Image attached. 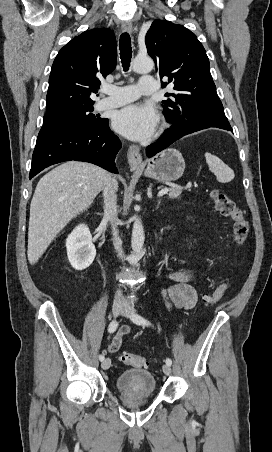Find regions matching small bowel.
I'll use <instances>...</instances> for the list:
<instances>
[{
    "mask_svg": "<svg viewBox=\"0 0 272 452\" xmlns=\"http://www.w3.org/2000/svg\"><path fill=\"white\" fill-rule=\"evenodd\" d=\"M169 277L174 281V284L163 291L167 304L186 310L193 308L197 302V294L189 284L193 273L187 269H176L169 273ZM130 332L129 326H121L108 344V352H118L122 346L123 338L129 335Z\"/></svg>",
    "mask_w": 272,
    "mask_h": 452,
    "instance_id": "obj_1",
    "label": "small bowel"
}]
</instances>
